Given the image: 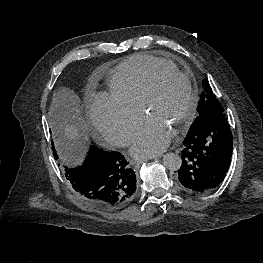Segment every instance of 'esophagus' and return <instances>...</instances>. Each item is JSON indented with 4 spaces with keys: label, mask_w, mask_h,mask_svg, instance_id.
<instances>
[{
    "label": "esophagus",
    "mask_w": 263,
    "mask_h": 263,
    "mask_svg": "<svg viewBox=\"0 0 263 263\" xmlns=\"http://www.w3.org/2000/svg\"><path fill=\"white\" fill-rule=\"evenodd\" d=\"M143 162L144 160H138V161H133V164L135 165V167H139Z\"/></svg>",
    "instance_id": "1"
}]
</instances>
